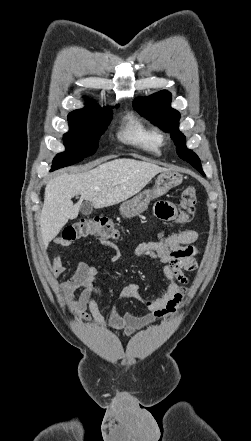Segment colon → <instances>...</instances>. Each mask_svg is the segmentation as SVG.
Masks as SVG:
<instances>
[{
	"label": "colon",
	"instance_id": "5ec220e1",
	"mask_svg": "<svg viewBox=\"0 0 251 441\" xmlns=\"http://www.w3.org/2000/svg\"><path fill=\"white\" fill-rule=\"evenodd\" d=\"M197 199L195 187L188 186L181 192L176 222L184 224L192 220ZM120 236L114 223L106 217H94L78 220L65 228L63 240L72 242L87 237L101 240H116Z\"/></svg>",
	"mask_w": 251,
	"mask_h": 441
}]
</instances>
